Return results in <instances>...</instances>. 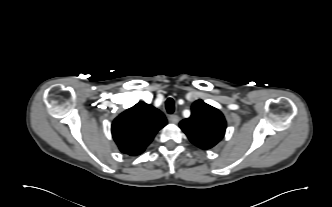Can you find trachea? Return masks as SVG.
I'll use <instances>...</instances> for the list:
<instances>
[{
    "label": "trachea",
    "instance_id": "1",
    "mask_svg": "<svg viewBox=\"0 0 332 207\" xmlns=\"http://www.w3.org/2000/svg\"><path fill=\"white\" fill-rule=\"evenodd\" d=\"M166 110L169 114H172L175 110L174 100L172 98H168L165 103Z\"/></svg>",
    "mask_w": 332,
    "mask_h": 207
}]
</instances>
